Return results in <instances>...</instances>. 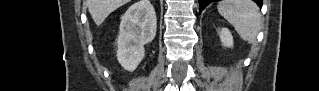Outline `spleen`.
<instances>
[{
  "instance_id": "3e777b00",
  "label": "spleen",
  "mask_w": 319,
  "mask_h": 91,
  "mask_svg": "<svg viewBox=\"0 0 319 91\" xmlns=\"http://www.w3.org/2000/svg\"><path fill=\"white\" fill-rule=\"evenodd\" d=\"M217 9L244 41L252 43L256 40L261 15L253 1L224 0L219 2Z\"/></svg>"
}]
</instances>
